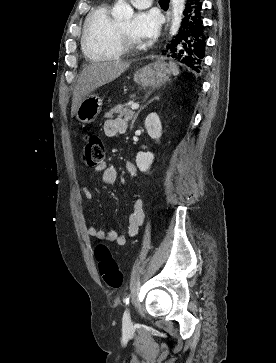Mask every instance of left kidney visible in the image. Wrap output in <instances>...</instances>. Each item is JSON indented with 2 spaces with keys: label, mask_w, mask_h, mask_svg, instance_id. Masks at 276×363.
Instances as JSON below:
<instances>
[{
  "label": "left kidney",
  "mask_w": 276,
  "mask_h": 363,
  "mask_svg": "<svg viewBox=\"0 0 276 363\" xmlns=\"http://www.w3.org/2000/svg\"><path fill=\"white\" fill-rule=\"evenodd\" d=\"M145 128L152 139H160L162 135V125L160 118L156 113H150L146 117ZM153 160L154 154L151 152H138L136 155V164L141 172L148 171L153 163Z\"/></svg>",
  "instance_id": "obj_1"
}]
</instances>
